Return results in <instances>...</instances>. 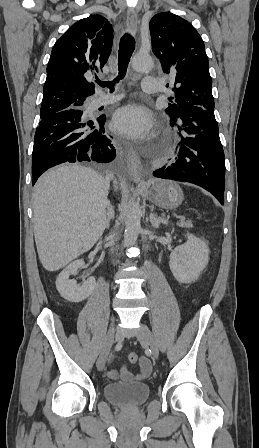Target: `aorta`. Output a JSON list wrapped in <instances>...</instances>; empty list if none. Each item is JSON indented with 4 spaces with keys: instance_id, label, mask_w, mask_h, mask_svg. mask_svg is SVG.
<instances>
[{
    "instance_id": "obj_1",
    "label": "aorta",
    "mask_w": 259,
    "mask_h": 448,
    "mask_svg": "<svg viewBox=\"0 0 259 448\" xmlns=\"http://www.w3.org/2000/svg\"><path fill=\"white\" fill-rule=\"evenodd\" d=\"M132 67L138 72H148L153 67V60L149 55L137 54L132 59ZM142 211L139 201L133 202L130 207L126 227L124 232V244L127 247L133 246L141 231Z\"/></svg>"
}]
</instances>
